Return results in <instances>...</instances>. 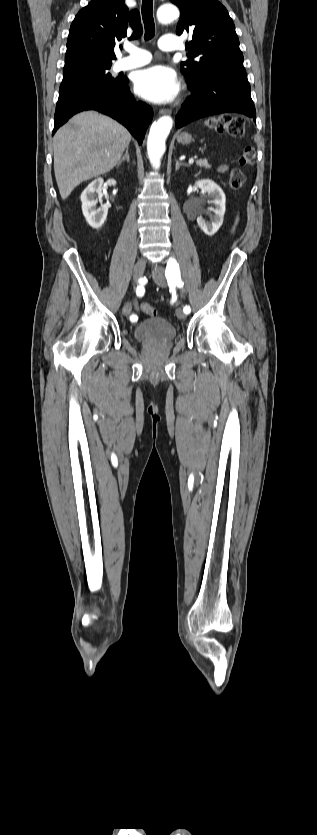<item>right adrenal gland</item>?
<instances>
[{
  "label": "right adrenal gland",
  "mask_w": 317,
  "mask_h": 835,
  "mask_svg": "<svg viewBox=\"0 0 317 835\" xmlns=\"http://www.w3.org/2000/svg\"><path fill=\"white\" fill-rule=\"evenodd\" d=\"M128 150H129V148L127 147V148H126V152H125V154L122 156V158H121V159L119 160V162H118V166H120V165L122 164V162H124L125 160H126L127 162H129V161H130V156H129Z\"/></svg>",
  "instance_id": "obj_1"
}]
</instances>
